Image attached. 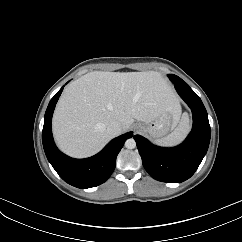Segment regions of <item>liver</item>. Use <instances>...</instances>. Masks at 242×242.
<instances>
[{
  "label": "liver",
  "mask_w": 242,
  "mask_h": 242,
  "mask_svg": "<svg viewBox=\"0 0 242 242\" xmlns=\"http://www.w3.org/2000/svg\"><path fill=\"white\" fill-rule=\"evenodd\" d=\"M180 112L175 93L159 72L93 71L66 87L52 128L58 147L82 158L114 137L107 131L112 123H119L123 133L135 120L149 124L164 113L179 118Z\"/></svg>",
  "instance_id": "6515ba94"
}]
</instances>
